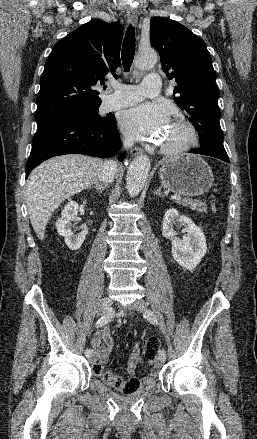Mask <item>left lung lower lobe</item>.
Wrapping results in <instances>:
<instances>
[{
	"label": "left lung lower lobe",
	"instance_id": "1",
	"mask_svg": "<svg viewBox=\"0 0 257 439\" xmlns=\"http://www.w3.org/2000/svg\"><path fill=\"white\" fill-rule=\"evenodd\" d=\"M190 153L212 156V157L218 158L222 161L230 162L227 154H214L211 152L201 151V150H199V151L198 150H191Z\"/></svg>",
	"mask_w": 257,
	"mask_h": 439
}]
</instances>
